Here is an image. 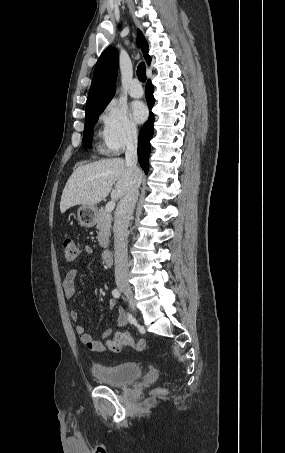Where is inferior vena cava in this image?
Returning <instances> with one entry per match:
<instances>
[{"instance_id":"inferior-vena-cava-1","label":"inferior vena cava","mask_w":285,"mask_h":453,"mask_svg":"<svg viewBox=\"0 0 285 453\" xmlns=\"http://www.w3.org/2000/svg\"><path fill=\"white\" fill-rule=\"evenodd\" d=\"M125 162L134 171V180L129 192L120 200L114 216V257L116 283L128 281V226L139 196L141 182L140 169L137 166V130H132L126 142Z\"/></svg>"}]
</instances>
